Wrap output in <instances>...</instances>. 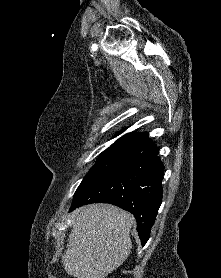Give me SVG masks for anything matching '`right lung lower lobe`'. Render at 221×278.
<instances>
[{"label":"right lung lower lobe","instance_id":"1","mask_svg":"<svg viewBox=\"0 0 221 278\" xmlns=\"http://www.w3.org/2000/svg\"><path fill=\"white\" fill-rule=\"evenodd\" d=\"M135 157L96 184L74 203L71 210L90 203H110L131 212L137 222L142 246L149 239L162 202L164 167L158 148L135 149Z\"/></svg>","mask_w":221,"mask_h":278}]
</instances>
